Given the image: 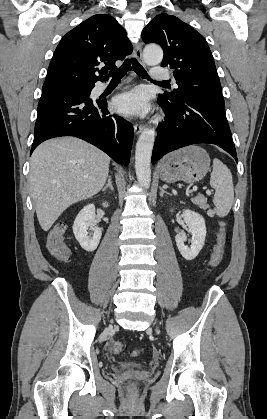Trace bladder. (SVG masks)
<instances>
[{
  "label": "bladder",
  "instance_id": "31cf9c89",
  "mask_svg": "<svg viewBox=\"0 0 267 419\" xmlns=\"http://www.w3.org/2000/svg\"><path fill=\"white\" fill-rule=\"evenodd\" d=\"M144 365L142 363L135 362H124L118 365V369H142Z\"/></svg>",
  "mask_w": 267,
  "mask_h": 419
}]
</instances>
